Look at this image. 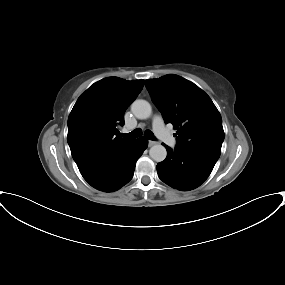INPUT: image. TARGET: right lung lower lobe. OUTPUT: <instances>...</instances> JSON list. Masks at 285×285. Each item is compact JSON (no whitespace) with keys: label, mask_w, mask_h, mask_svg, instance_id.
I'll return each mask as SVG.
<instances>
[{"label":"right lung lower lobe","mask_w":285,"mask_h":285,"mask_svg":"<svg viewBox=\"0 0 285 285\" xmlns=\"http://www.w3.org/2000/svg\"><path fill=\"white\" fill-rule=\"evenodd\" d=\"M147 145L144 137L130 140L79 169L80 173L97 190L116 191L131 180L136 161Z\"/></svg>","instance_id":"obj_1"}]
</instances>
